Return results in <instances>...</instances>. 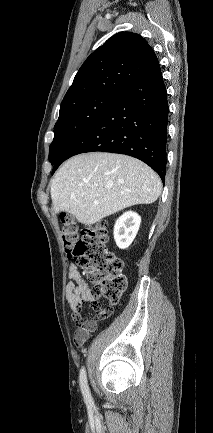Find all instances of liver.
Here are the masks:
<instances>
[{
	"label": "liver",
	"instance_id": "1",
	"mask_svg": "<svg viewBox=\"0 0 213 433\" xmlns=\"http://www.w3.org/2000/svg\"><path fill=\"white\" fill-rule=\"evenodd\" d=\"M162 190L156 172L122 154L88 153L67 160L51 182L58 212L91 225L124 208L155 202Z\"/></svg>",
	"mask_w": 213,
	"mask_h": 433
}]
</instances>
